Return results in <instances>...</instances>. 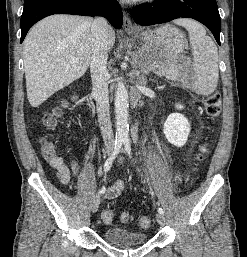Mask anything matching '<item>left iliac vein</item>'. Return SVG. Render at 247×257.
Returning a JSON list of instances; mask_svg holds the SVG:
<instances>
[{"mask_svg": "<svg viewBox=\"0 0 247 257\" xmlns=\"http://www.w3.org/2000/svg\"><path fill=\"white\" fill-rule=\"evenodd\" d=\"M118 162H119V163H122V159H121V158H118ZM156 218H157V222H158L161 226H164V225H165L166 219H165V217H164L163 214L158 213V214L156 215Z\"/></svg>", "mask_w": 247, "mask_h": 257, "instance_id": "4c4485c4", "label": "left iliac vein"}]
</instances>
